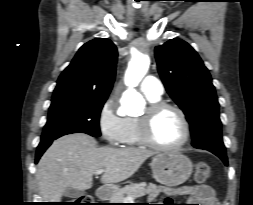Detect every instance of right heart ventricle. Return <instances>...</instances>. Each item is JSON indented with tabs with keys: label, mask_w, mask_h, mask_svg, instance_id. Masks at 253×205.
<instances>
[{
	"label": "right heart ventricle",
	"mask_w": 253,
	"mask_h": 205,
	"mask_svg": "<svg viewBox=\"0 0 253 205\" xmlns=\"http://www.w3.org/2000/svg\"><path fill=\"white\" fill-rule=\"evenodd\" d=\"M146 97L150 103H156L161 100V97H151L148 95H146ZM122 143L125 146H129V147L145 145L140 138L138 118L136 117L126 118V128H125V134H124V139Z\"/></svg>",
	"instance_id": "1"
}]
</instances>
